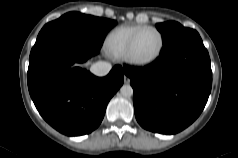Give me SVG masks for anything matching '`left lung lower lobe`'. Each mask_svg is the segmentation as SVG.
I'll list each match as a JSON object with an SVG mask.
<instances>
[{
    "instance_id": "0a47b994",
    "label": "left lung lower lobe",
    "mask_w": 238,
    "mask_h": 158,
    "mask_svg": "<svg viewBox=\"0 0 238 158\" xmlns=\"http://www.w3.org/2000/svg\"><path fill=\"white\" fill-rule=\"evenodd\" d=\"M124 72L131 79L136 119L152 132L175 134L188 127L211 92L210 58L199 34L163 49L152 64Z\"/></svg>"
}]
</instances>
